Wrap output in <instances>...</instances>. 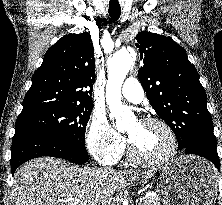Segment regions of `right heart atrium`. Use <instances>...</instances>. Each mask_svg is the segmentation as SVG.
<instances>
[{
    "label": "right heart atrium",
    "instance_id": "obj_1",
    "mask_svg": "<svg viewBox=\"0 0 222 205\" xmlns=\"http://www.w3.org/2000/svg\"><path fill=\"white\" fill-rule=\"evenodd\" d=\"M86 143L92 156L103 164L116 162L123 154L125 140L110 125L104 114L95 112L86 127Z\"/></svg>",
    "mask_w": 222,
    "mask_h": 205
}]
</instances>
